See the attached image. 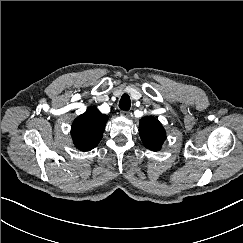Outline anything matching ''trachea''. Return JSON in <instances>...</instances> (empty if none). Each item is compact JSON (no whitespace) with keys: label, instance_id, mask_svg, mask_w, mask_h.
<instances>
[{"label":"trachea","instance_id":"obj_1","mask_svg":"<svg viewBox=\"0 0 243 243\" xmlns=\"http://www.w3.org/2000/svg\"><path fill=\"white\" fill-rule=\"evenodd\" d=\"M131 100L128 94H123L119 101V108L121 110L127 111L130 109Z\"/></svg>","mask_w":243,"mask_h":243}]
</instances>
